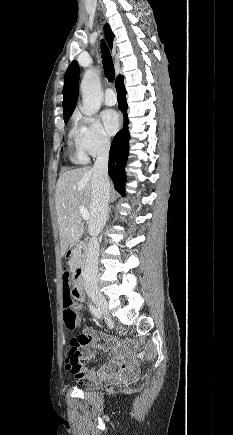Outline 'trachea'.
Returning <instances> with one entry per match:
<instances>
[{"label": "trachea", "instance_id": "1", "mask_svg": "<svg viewBox=\"0 0 233 435\" xmlns=\"http://www.w3.org/2000/svg\"><path fill=\"white\" fill-rule=\"evenodd\" d=\"M102 63L105 71V76L109 82H112L115 78V70L112 61L111 54L104 42L101 43Z\"/></svg>", "mask_w": 233, "mask_h": 435}]
</instances>
